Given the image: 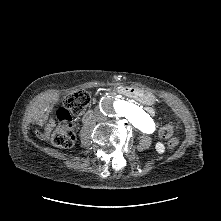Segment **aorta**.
<instances>
[{
	"mask_svg": "<svg viewBox=\"0 0 221 221\" xmlns=\"http://www.w3.org/2000/svg\"><path fill=\"white\" fill-rule=\"evenodd\" d=\"M112 105L116 112L124 116L137 129L146 133H150L153 131V121L143 111V109H141L134 103L117 99L113 101Z\"/></svg>",
	"mask_w": 221,
	"mask_h": 221,
	"instance_id": "aorta-1",
	"label": "aorta"
}]
</instances>
